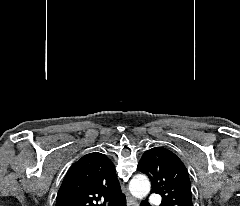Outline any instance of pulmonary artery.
Returning <instances> with one entry per match:
<instances>
[{"label": "pulmonary artery", "instance_id": "obj_1", "mask_svg": "<svg viewBox=\"0 0 240 206\" xmlns=\"http://www.w3.org/2000/svg\"><path fill=\"white\" fill-rule=\"evenodd\" d=\"M160 201H161L160 198L158 196H156V195H152L150 197V202L153 203V204H159Z\"/></svg>", "mask_w": 240, "mask_h": 206}]
</instances>
